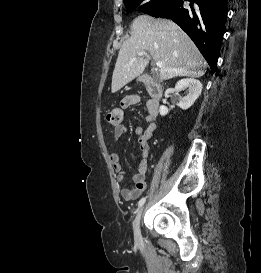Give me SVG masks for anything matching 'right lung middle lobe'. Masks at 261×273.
I'll list each match as a JSON object with an SVG mask.
<instances>
[{
    "label": "right lung middle lobe",
    "mask_w": 261,
    "mask_h": 273,
    "mask_svg": "<svg viewBox=\"0 0 261 273\" xmlns=\"http://www.w3.org/2000/svg\"><path fill=\"white\" fill-rule=\"evenodd\" d=\"M172 0H124L125 7L129 12L138 10L144 14L152 15Z\"/></svg>",
    "instance_id": "obj_1"
}]
</instances>
